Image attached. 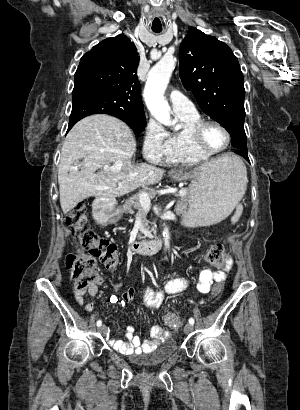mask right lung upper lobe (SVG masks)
Segmentation results:
<instances>
[{
  "mask_svg": "<svg viewBox=\"0 0 300 410\" xmlns=\"http://www.w3.org/2000/svg\"><path fill=\"white\" fill-rule=\"evenodd\" d=\"M137 54L134 43L122 34L103 40L82 56L74 86L92 85L111 94L121 116L145 117L137 78Z\"/></svg>",
  "mask_w": 300,
  "mask_h": 410,
  "instance_id": "1",
  "label": "right lung upper lobe"
}]
</instances>
